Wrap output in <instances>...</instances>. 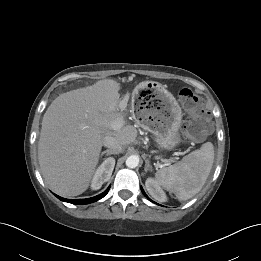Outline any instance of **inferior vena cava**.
<instances>
[{
    "label": "inferior vena cava",
    "mask_w": 261,
    "mask_h": 261,
    "mask_svg": "<svg viewBox=\"0 0 261 261\" xmlns=\"http://www.w3.org/2000/svg\"><path fill=\"white\" fill-rule=\"evenodd\" d=\"M103 145L115 154H119L123 151L122 145L113 136L104 137Z\"/></svg>",
    "instance_id": "inferior-vena-cava-1"
}]
</instances>
